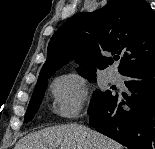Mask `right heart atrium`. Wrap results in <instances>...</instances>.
I'll use <instances>...</instances> for the list:
<instances>
[{"label": "right heart atrium", "instance_id": "obj_1", "mask_svg": "<svg viewBox=\"0 0 155 149\" xmlns=\"http://www.w3.org/2000/svg\"><path fill=\"white\" fill-rule=\"evenodd\" d=\"M53 107L55 113L62 118H75L83 110L89 87L86 81L75 73L57 77L52 85Z\"/></svg>", "mask_w": 155, "mask_h": 149}]
</instances>
